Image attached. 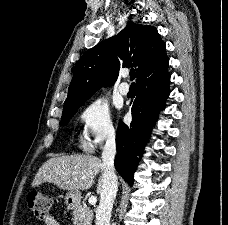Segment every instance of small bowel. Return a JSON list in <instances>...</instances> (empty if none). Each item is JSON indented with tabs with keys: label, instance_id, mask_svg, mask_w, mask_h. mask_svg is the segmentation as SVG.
Masks as SVG:
<instances>
[{
	"label": "small bowel",
	"instance_id": "c3829d8e",
	"mask_svg": "<svg viewBox=\"0 0 228 225\" xmlns=\"http://www.w3.org/2000/svg\"><path fill=\"white\" fill-rule=\"evenodd\" d=\"M44 223L45 225H59L58 221L53 216H50V215H48L44 219Z\"/></svg>",
	"mask_w": 228,
	"mask_h": 225
}]
</instances>
